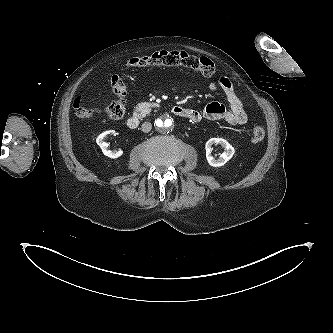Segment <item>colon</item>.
Masks as SVG:
<instances>
[{
  "label": "colon",
  "mask_w": 333,
  "mask_h": 333,
  "mask_svg": "<svg viewBox=\"0 0 333 333\" xmlns=\"http://www.w3.org/2000/svg\"><path fill=\"white\" fill-rule=\"evenodd\" d=\"M127 65L131 68H157L164 66H183L198 71L206 76L215 72L213 61L207 57H197L184 51H156L145 56H136L128 60ZM110 86L116 99L113 100L104 110L88 109L82 106L81 99L77 98L74 107L79 117L84 119H119L125 114V96L127 87L119 74H113L110 79ZM251 140L260 142L265 137V130L256 126L251 130Z\"/></svg>",
  "instance_id": "1"
}]
</instances>
